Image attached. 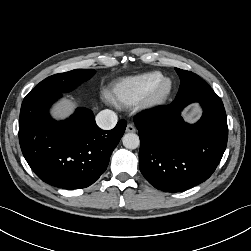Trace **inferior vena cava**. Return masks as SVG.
Masks as SVG:
<instances>
[{"label": "inferior vena cava", "instance_id": "602c4592", "mask_svg": "<svg viewBox=\"0 0 251 251\" xmlns=\"http://www.w3.org/2000/svg\"><path fill=\"white\" fill-rule=\"evenodd\" d=\"M118 117L112 110H102L96 116L97 125L103 130H110L115 127Z\"/></svg>", "mask_w": 251, "mask_h": 251}]
</instances>
